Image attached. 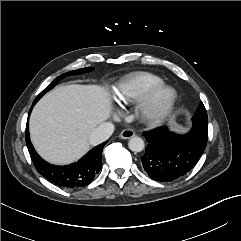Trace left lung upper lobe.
Returning a JSON list of instances; mask_svg holds the SVG:
<instances>
[{"label": "left lung upper lobe", "mask_w": 241, "mask_h": 241, "mask_svg": "<svg viewBox=\"0 0 241 241\" xmlns=\"http://www.w3.org/2000/svg\"><path fill=\"white\" fill-rule=\"evenodd\" d=\"M192 120L194 127L199 128L204 134L208 135V117L202 102H200Z\"/></svg>", "instance_id": "obj_1"}]
</instances>
